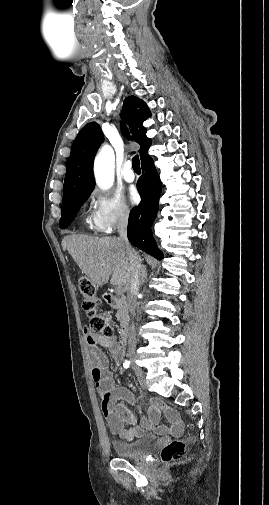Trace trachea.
Returning a JSON list of instances; mask_svg holds the SVG:
<instances>
[{
  "instance_id": "3493384b",
  "label": "trachea",
  "mask_w": 269,
  "mask_h": 505,
  "mask_svg": "<svg viewBox=\"0 0 269 505\" xmlns=\"http://www.w3.org/2000/svg\"><path fill=\"white\" fill-rule=\"evenodd\" d=\"M132 166L134 170H140V161H139V156L135 155L132 158Z\"/></svg>"
}]
</instances>
